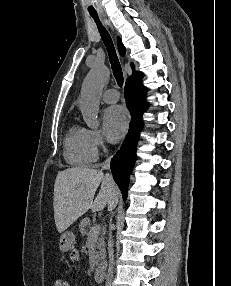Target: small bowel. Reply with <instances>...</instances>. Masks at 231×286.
<instances>
[{"label":"small bowel","instance_id":"small-bowel-1","mask_svg":"<svg viewBox=\"0 0 231 286\" xmlns=\"http://www.w3.org/2000/svg\"><path fill=\"white\" fill-rule=\"evenodd\" d=\"M70 259L72 262H78L80 260V254L77 250H73L70 253Z\"/></svg>","mask_w":231,"mask_h":286}]
</instances>
